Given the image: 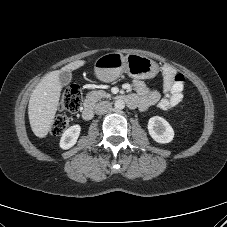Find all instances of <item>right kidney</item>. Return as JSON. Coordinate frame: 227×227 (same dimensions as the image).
Instances as JSON below:
<instances>
[{
	"instance_id": "right-kidney-1",
	"label": "right kidney",
	"mask_w": 227,
	"mask_h": 227,
	"mask_svg": "<svg viewBox=\"0 0 227 227\" xmlns=\"http://www.w3.org/2000/svg\"><path fill=\"white\" fill-rule=\"evenodd\" d=\"M81 131L80 125L76 124L69 127L63 134L60 139V147L62 149H69L74 146L77 142Z\"/></svg>"
}]
</instances>
